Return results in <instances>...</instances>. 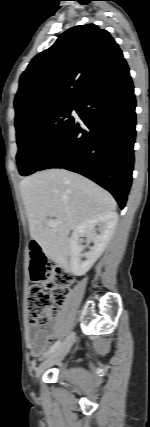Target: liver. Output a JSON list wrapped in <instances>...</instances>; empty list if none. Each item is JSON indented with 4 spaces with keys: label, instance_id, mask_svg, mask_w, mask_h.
Segmentation results:
<instances>
[{
    "label": "liver",
    "instance_id": "1",
    "mask_svg": "<svg viewBox=\"0 0 150 427\" xmlns=\"http://www.w3.org/2000/svg\"><path fill=\"white\" fill-rule=\"evenodd\" d=\"M20 191L30 236L55 262L66 266L69 233L85 220L114 212L113 196L91 180L65 169H48L24 178ZM61 223L47 226V218Z\"/></svg>",
    "mask_w": 150,
    "mask_h": 427
}]
</instances>
